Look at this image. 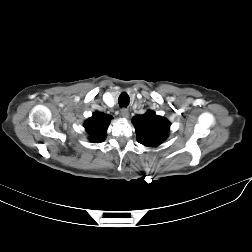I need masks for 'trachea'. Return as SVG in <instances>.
<instances>
[{"instance_id":"3493384b","label":"trachea","mask_w":252,"mask_h":252,"mask_svg":"<svg viewBox=\"0 0 252 252\" xmlns=\"http://www.w3.org/2000/svg\"><path fill=\"white\" fill-rule=\"evenodd\" d=\"M129 96L126 94V93H122L120 96H119V105L121 107H127L129 105Z\"/></svg>"}]
</instances>
